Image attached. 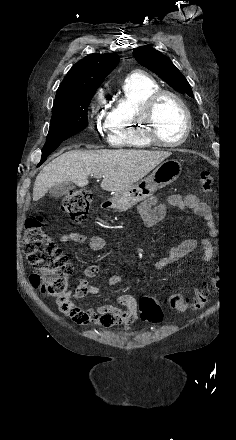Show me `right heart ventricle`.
<instances>
[{"label":"right heart ventricle","mask_w":236,"mask_h":440,"mask_svg":"<svg viewBox=\"0 0 236 440\" xmlns=\"http://www.w3.org/2000/svg\"><path fill=\"white\" fill-rule=\"evenodd\" d=\"M157 90L159 85L150 76L135 73L125 78L106 119L108 141L112 146L133 149L153 146L145 136L140 116L145 101Z\"/></svg>","instance_id":"right-heart-ventricle-1"}]
</instances>
